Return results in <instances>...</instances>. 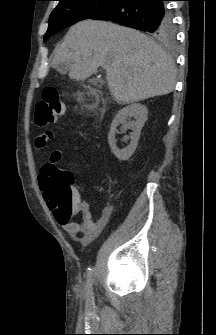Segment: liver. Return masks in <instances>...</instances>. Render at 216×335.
<instances>
[{
  "label": "liver",
  "mask_w": 216,
  "mask_h": 335,
  "mask_svg": "<svg viewBox=\"0 0 216 335\" xmlns=\"http://www.w3.org/2000/svg\"><path fill=\"white\" fill-rule=\"evenodd\" d=\"M73 80H85L99 67L118 104L173 91L176 70L171 57L147 35L111 22L85 20L73 25L53 58Z\"/></svg>",
  "instance_id": "1"
}]
</instances>
